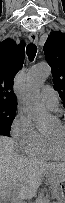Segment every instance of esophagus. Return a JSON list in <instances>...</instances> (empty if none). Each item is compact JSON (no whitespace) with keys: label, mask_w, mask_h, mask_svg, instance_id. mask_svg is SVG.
<instances>
[{"label":"esophagus","mask_w":65,"mask_h":203,"mask_svg":"<svg viewBox=\"0 0 65 203\" xmlns=\"http://www.w3.org/2000/svg\"><path fill=\"white\" fill-rule=\"evenodd\" d=\"M29 40L33 43H36L38 41V35L35 32H32L29 34Z\"/></svg>","instance_id":"esophagus-1"}]
</instances>
